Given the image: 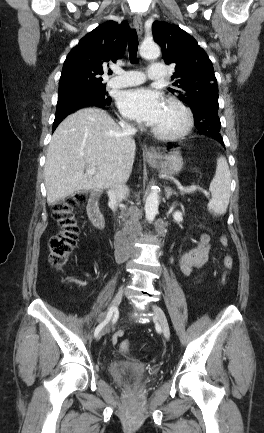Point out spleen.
Segmentation results:
<instances>
[{
  "instance_id": "spleen-1",
  "label": "spleen",
  "mask_w": 264,
  "mask_h": 433,
  "mask_svg": "<svg viewBox=\"0 0 264 433\" xmlns=\"http://www.w3.org/2000/svg\"><path fill=\"white\" fill-rule=\"evenodd\" d=\"M231 174L225 157L217 159V167L209 190L212 198L208 203V208L216 214H225L230 199Z\"/></svg>"
}]
</instances>
